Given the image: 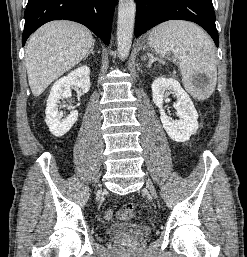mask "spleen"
<instances>
[{
    "label": "spleen",
    "mask_w": 247,
    "mask_h": 257,
    "mask_svg": "<svg viewBox=\"0 0 247 257\" xmlns=\"http://www.w3.org/2000/svg\"><path fill=\"white\" fill-rule=\"evenodd\" d=\"M148 42L161 55L173 53L179 61L183 84L191 94L207 99L213 93L217 81L215 47L200 27L188 21H167L151 30ZM198 75L206 77L203 88L193 83Z\"/></svg>",
    "instance_id": "1"
}]
</instances>
